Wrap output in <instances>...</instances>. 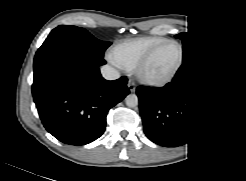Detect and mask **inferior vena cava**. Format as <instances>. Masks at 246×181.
I'll return each mask as SVG.
<instances>
[{
  "label": "inferior vena cava",
  "instance_id": "obj_1",
  "mask_svg": "<svg viewBox=\"0 0 246 181\" xmlns=\"http://www.w3.org/2000/svg\"><path fill=\"white\" fill-rule=\"evenodd\" d=\"M101 74L106 80H115L120 77V73L117 69L110 65H104L101 67Z\"/></svg>",
  "mask_w": 246,
  "mask_h": 181
}]
</instances>
